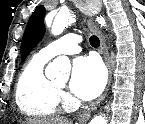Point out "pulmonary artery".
<instances>
[{
  "label": "pulmonary artery",
  "mask_w": 145,
  "mask_h": 124,
  "mask_svg": "<svg viewBox=\"0 0 145 124\" xmlns=\"http://www.w3.org/2000/svg\"><path fill=\"white\" fill-rule=\"evenodd\" d=\"M80 51V38L77 34L71 33L42 48L38 54L49 60L59 54H77Z\"/></svg>",
  "instance_id": "e3ab8cb5"
}]
</instances>
